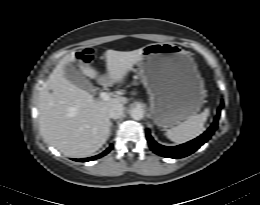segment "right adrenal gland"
Wrapping results in <instances>:
<instances>
[{
    "mask_svg": "<svg viewBox=\"0 0 260 205\" xmlns=\"http://www.w3.org/2000/svg\"><path fill=\"white\" fill-rule=\"evenodd\" d=\"M110 133H109V136L111 135V131H112V127H113V123L111 122V124H110Z\"/></svg>",
    "mask_w": 260,
    "mask_h": 205,
    "instance_id": "1",
    "label": "right adrenal gland"
}]
</instances>
